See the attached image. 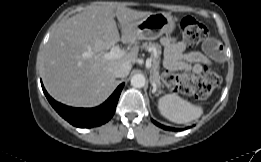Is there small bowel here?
<instances>
[{"instance_id": "small-bowel-1", "label": "small bowel", "mask_w": 261, "mask_h": 162, "mask_svg": "<svg viewBox=\"0 0 261 162\" xmlns=\"http://www.w3.org/2000/svg\"><path fill=\"white\" fill-rule=\"evenodd\" d=\"M161 43L165 47L164 65L173 71H192L200 74L204 66L212 62L224 60L223 47L213 39H207L203 44L204 53L199 51H186L183 41L164 37Z\"/></svg>"}]
</instances>
